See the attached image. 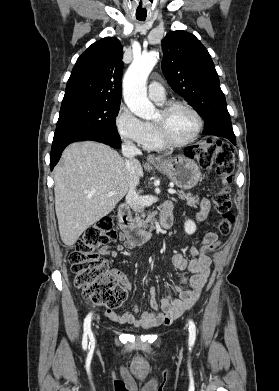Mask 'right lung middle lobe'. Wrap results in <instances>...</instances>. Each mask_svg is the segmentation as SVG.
I'll use <instances>...</instances> for the list:
<instances>
[{"label": "right lung middle lobe", "instance_id": "dd1d6c3e", "mask_svg": "<svg viewBox=\"0 0 279 391\" xmlns=\"http://www.w3.org/2000/svg\"><path fill=\"white\" fill-rule=\"evenodd\" d=\"M120 103L93 102L61 109L53 142L101 129H114Z\"/></svg>", "mask_w": 279, "mask_h": 391}]
</instances>
